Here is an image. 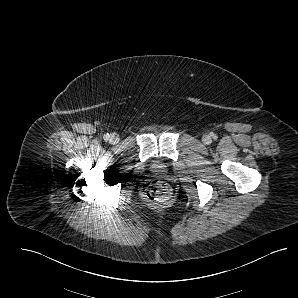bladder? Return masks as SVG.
I'll use <instances>...</instances> for the list:
<instances>
[{
  "mask_svg": "<svg viewBox=\"0 0 298 298\" xmlns=\"http://www.w3.org/2000/svg\"><path fill=\"white\" fill-rule=\"evenodd\" d=\"M151 170L155 173H165L167 171V166L161 162H155L152 164Z\"/></svg>",
  "mask_w": 298,
  "mask_h": 298,
  "instance_id": "31cf9c89",
  "label": "bladder"
}]
</instances>
